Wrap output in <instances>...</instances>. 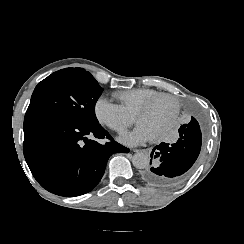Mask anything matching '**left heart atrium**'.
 <instances>
[{"instance_id": "1", "label": "left heart atrium", "mask_w": 244, "mask_h": 244, "mask_svg": "<svg viewBox=\"0 0 244 244\" xmlns=\"http://www.w3.org/2000/svg\"><path fill=\"white\" fill-rule=\"evenodd\" d=\"M158 138L159 136L152 133L146 126L140 125L137 130L123 137L122 141L128 145H136Z\"/></svg>"}]
</instances>
